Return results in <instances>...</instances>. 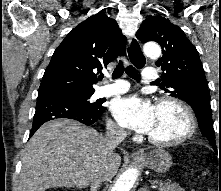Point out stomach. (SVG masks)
Instances as JSON below:
<instances>
[{"label":"stomach","mask_w":221,"mask_h":191,"mask_svg":"<svg viewBox=\"0 0 221 191\" xmlns=\"http://www.w3.org/2000/svg\"><path fill=\"white\" fill-rule=\"evenodd\" d=\"M136 161L145 164L158 173L167 172L172 165L170 154L161 148L152 150L143 157L136 158Z\"/></svg>","instance_id":"0dacf381"}]
</instances>
